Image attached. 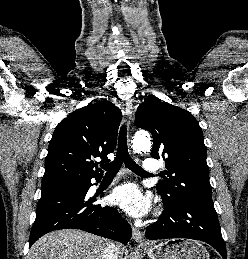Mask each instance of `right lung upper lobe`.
<instances>
[{"label":"right lung upper lobe","instance_id":"right-lung-upper-lobe-1","mask_svg":"<svg viewBox=\"0 0 248 259\" xmlns=\"http://www.w3.org/2000/svg\"><path fill=\"white\" fill-rule=\"evenodd\" d=\"M121 119L120 109L109 101L89 103L63 119L49 143L42 185L102 177L93 159L109 161Z\"/></svg>","mask_w":248,"mask_h":259}]
</instances>
